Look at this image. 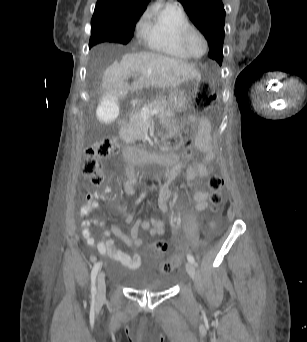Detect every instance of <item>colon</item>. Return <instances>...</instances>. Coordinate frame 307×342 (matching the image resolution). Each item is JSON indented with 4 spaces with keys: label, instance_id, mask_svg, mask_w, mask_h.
<instances>
[{
    "label": "colon",
    "instance_id": "colon-1",
    "mask_svg": "<svg viewBox=\"0 0 307 342\" xmlns=\"http://www.w3.org/2000/svg\"><path fill=\"white\" fill-rule=\"evenodd\" d=\"M199 94H205L200 100H196L192 107L195 111L205 112L214 104V92L212 91L210 82L198 83ZM185 146H189L190 138L187 133L182 135ZM117 145L116 138L106 137L98 142L91 144L85 149L84 163L82 165V172L93 185L102 186L105 184L104 175L101 168V163L109 159L115 146ZM191 154V152H189ZM223 177L218 174H211L208 177V187L210 189V203L212 212H218L223 204ZM111 200H116L115 194H110ZM211 228L215 229V224H211ZM152 250L158 254L163 255L168 250V243L166 241H158L152 245ZM182 258L176 256L173 260H166L160 266V271L163 274H170L176 266L181 264Z\"/></svg>",
    "mask_w": 307,
    "mask_h": 342
}]
</instances>
